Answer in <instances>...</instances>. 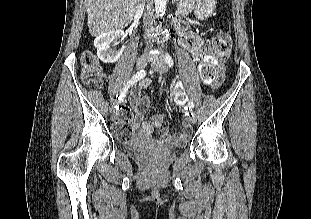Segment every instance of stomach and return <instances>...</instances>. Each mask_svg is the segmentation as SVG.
I'll return each mask as SVG.
<instances>
[{"label": "stomach", "instance_id": "0dacf381", "mask_svg": "<svg viewBox=\"0 0 311 219\" xmlns=\"http://www.w3.org/2000/svg\"><path fill=\"white\" fill-rule=\"evenodd\" d=\"M195 13L199 19H207L214 11L216 0H195Z\"/></svg>", "mask_w": 311, "mask_h": 219}]
</instances>
